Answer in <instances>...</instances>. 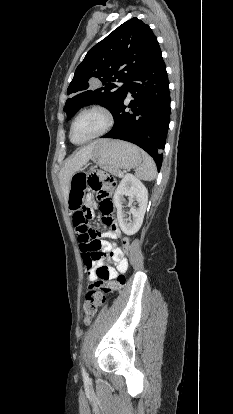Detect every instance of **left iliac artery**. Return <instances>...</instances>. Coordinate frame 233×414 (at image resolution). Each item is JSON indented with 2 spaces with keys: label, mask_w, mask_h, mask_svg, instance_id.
Listing matches in <instances>:
<instances>
[{
  "label": "left iliac artery",
  "mask_w": 233,
  "mask_h": 414,
  "mask_svg": "<svg viewBox=\"0 0 233 414\" xmlns=\"http://www.w3.org/2000/svg\"><path fill=\"white\" fill-rule=\"evenodd\" d=\"M82 375H83V377H87V373H86V371H85V368L82 366Z\"/></svg>",
  "instance_id": "1"
}]
</instances>
